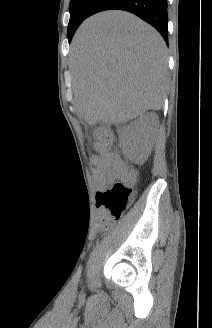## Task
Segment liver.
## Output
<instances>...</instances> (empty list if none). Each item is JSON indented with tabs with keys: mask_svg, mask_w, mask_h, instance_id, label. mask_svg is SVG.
Returning <instances> with one entry per match:
<instances>
[{
	"mask_svg": "<svg viewBox=\"0 0 212 328\" xmlns=\"http://www.w3.org/2000/svg\"><path fill=\"white\" fill-rule=\"evenodd\" d=\"M74 106L89 124L127 122L160 110L167 72L159 33L124 11L86 19L71 46Z\"/></svg>",
	"mask_w": 212,
	"mask_h": 328,
	"instance_id": "liver-1",
	"label": "liver"
}]
</instances>
